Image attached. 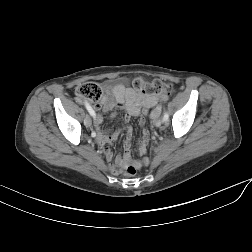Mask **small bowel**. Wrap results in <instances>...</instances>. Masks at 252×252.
Instances as JSON below:
<instances>
[{
	"mask_svg": "<svg viewBox=\"0 0 252 252\" xmlns=\"http://www.w3.org/2000/svg\"><path fill=\"white\" fill-rule=\"evenodd\" d=\"M169 95L162 93L159 95L141 93L130 86L124 84H117L114 87L106 86V93L102 97L100 103L94 106L96 111L102 110L103 112H112V116L116 115L117 110L125 112L124 121L128 122L130 117L139 116L141 113L144 115L153 107L158 101L168 100ZM80 102V100H78ZM103 118L97 114L94 118V128L97 132V142L103 146V152L108 160L113 157L111 149L106 146L114 142L118 138V131L113 130L111 133H106L100 128ZM141 126V139L138 145V153L143 155L149 141V133L145 127L144 117L139 120ZM126 140L124 143L125 152L119 156L116 161L110 165V170L115 175L121 174L125 166L132 160L131 137L132 128H126ZM144 164L148 163L146 158L142 159Z\"/></svg>",
	"mask_w": 252,
	"mask_h": 252,
	"instance_id": "obj_1",
	"label": "small bowel"
}]
</instances>
